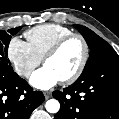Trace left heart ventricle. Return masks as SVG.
I'll return each instance as SVG.
<instances>
[{
	"label": "left heart ventricle",
	"instance_id": "1",
	"mask_svg": "<svg viewBox=\"0 0 119 119\" xmlns=\"http://www.w3.org/2000/svg\"><path fill=\"white\" fill-rule=\"evenodd\" d=\"M82 57V43L78 39H73L56 56L47 60L45 66L49 67L62 80L78 68Z\"/></svg>",
	"mask_w": 119,
	"mask_h": 119
}]
</instances>
